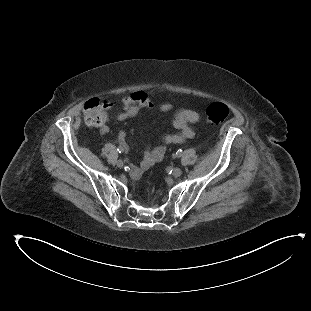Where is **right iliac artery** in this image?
<instances>
[{
  "label": "right iliac artery",
  "instance_id": "82829eb1",
  "mask_svg": "<svg viewBox=\"0 0 311 311\" xmlns=\"http://www.w3.org/2000/svg\"><path fill=\"white\" fill-rule=\"evenodd\" d=\"M117 151H118L119 153H123V152H124V148H123L122 146H119V147L117 148Z\"/></svg>",
  "mask_w": 311,
  "mask_h": 311
}]
</instances>
